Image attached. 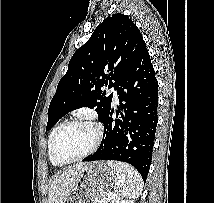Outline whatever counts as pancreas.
<instances>
[{
    "instance_id": "cf45deb5",
    "label": "pancreas",
    "mask_w": 214,
    "mask_h": 203,
    "mask_svg": "<svg viewBox=\"0 0 214 203\" xmlns=\"http://www.w3.org/2000/svg\"><path fill=\"white\" fill-rule=\"evenodd\" d=\"M102 203H116L115 199H109L108 195L103 199Z\"/></svg>"
}]
</instances>
